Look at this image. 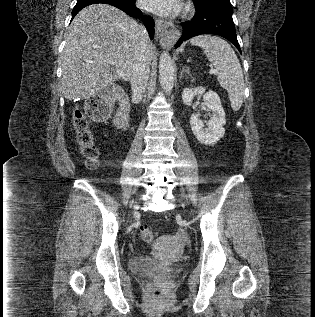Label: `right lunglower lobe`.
<instances>
[{"mask_svg": "<svg viewBox=\"0 0 315 317\" xmlns=\"http://www.w3.org/2000/svg\"><path fill=\"white\" fill-rule=\"evenodd\" d=\"M105 3L115 6L133 18L142 17L141 11L135 6V0H77V4L72 10V18L84 7L91 4ZM143 23L147 28L150 39L154 36V21L151 17H144Z\"/></svg>", "mask_w": 315, "mask_h": 317, "instance_id": "obj_1", "label": "right lung lower lobe"}]
</instances>
